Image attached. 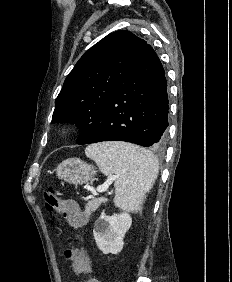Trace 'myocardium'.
<instances>
[{"label":"myocardium","mask_w":232,"mask_h":282,"mask_svg":"<svg viewBox=\"0 0 232 282\" xmlns=\"http://www.w3.org/2000/svg\"><path fill=\"white\" fill-rule=\"evenodd\" d=\"M77 129V124L76 123H70L67 126H65V128L63 129L64 133H72L74 131H76Z\"/></svg>","instance_id":"myocardium-1"}]
</instances>
